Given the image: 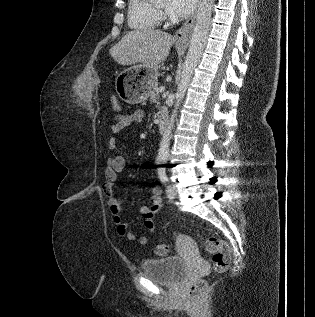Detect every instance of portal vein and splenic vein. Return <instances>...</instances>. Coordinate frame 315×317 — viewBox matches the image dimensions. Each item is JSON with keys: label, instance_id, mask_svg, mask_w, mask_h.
<instances>
[{"label": "portal vein and splenic vein", "instance_id": "1", "mask_svg": "<svg viewBox=\"0 0 315 317\" xmlns=\"http://www.w3.org/2000/svg\"><path fill=\"white\" fill-rule=\"evenodd\" d=\"M165 90V88L164 87H161L160 89H159V92H163Z\"/></svg>", "mask_w": 315, "mask_h": 317}]
</instances>
